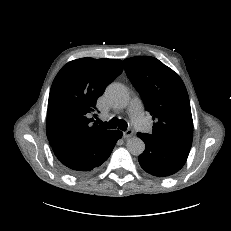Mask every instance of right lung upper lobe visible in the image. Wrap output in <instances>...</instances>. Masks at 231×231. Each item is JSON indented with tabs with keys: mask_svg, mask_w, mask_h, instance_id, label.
Instances as JSON below:
<instances>
[{
	"mask_svg": "<svg viewBox=\"0 0 231 231\" xmlns=\"http://www.w3.org/2000/svg\"><path fill=\"white\" fill-rule=\"evenodd\" d=\"M123 71L119 59L81 58L68 62L50 90L46 134L50 145L87 141L108 130L92 123L96 101Z\"/></svg>",
	"mask_w": 231,
	"mask_h": 231,
	"instance_id": "1",
	"label": "right lung upper lobe"
}]
</instances>
